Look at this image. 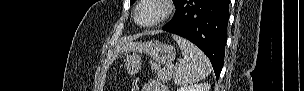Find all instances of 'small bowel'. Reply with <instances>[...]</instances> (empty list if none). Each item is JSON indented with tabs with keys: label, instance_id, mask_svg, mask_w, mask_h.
<instances>
[{
	"label": "small bowel",
	"instance_id": "1",
	"mask_svg": "<svg viewBox=\"0 0 304 91\" xmlns=\"http://www.w3.org/2000/svg\"><path fill=\"white\" fill-rule=\"evenodd\" d=\"M143 90L147 91H166L167 88L158 80H151Z\"/></svg>",
	"mask_w": 304,
	"mask_h": 91
}]
</instances>
